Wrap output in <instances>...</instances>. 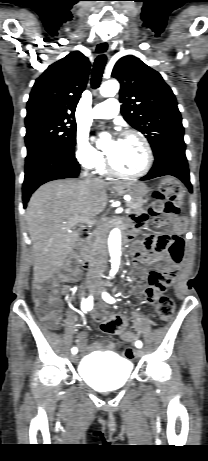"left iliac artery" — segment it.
Here are the masks:
<instances>
[{
    "mask_svg": "<svg viewBox=\"0 0 208 461\" xmlns=\"http://www.w3.org/2000/svg\"><path fill=\"white\" fill-rule=\"evenodd\" d=\"M102 298L107 302V303H114L115 302V299L113 297H111L107 292H103L102 294ZM136 347L137 348H141L142 347V342L141 341H137L136 342Z\"/></svg>",
    "mask_w": 208,
    "mask_h": 461,
    "instance_id": "obj_1",
    "label": "left iliac artery"
}]
</instances>
